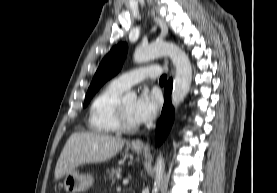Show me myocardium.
I'll return each instance as SVG.
<instances>
[{
  "instance_id": "obj_1",
  "label": "myocardium",
  "mask_w": 277,
  "mask_h": 193,
  "mask_svg": "<svg viewBox=\"0 0 277 193\" xmlns=\"http://www.w3.org/2000/svg\"><path fill=\"white\" fill-rule=\"evenodd\" d=\"M116 118L119 131L134 132L139 129V124L131 122L124 110L123 102L120 100L116 107Z\"/></svg>"
}]
</instances>
